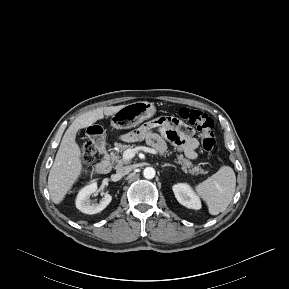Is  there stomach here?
Here are the masks:
<instances>
[{
	"mask_svg": "<svg viewBox=\"0 0 289 289\" xmlns=\"http://www.w3.org/2000/svg\"><path fill=\"white\" fill-rule=\"evenodd\" d=\"M156 107L148 101H138L125 105L111 117V125L116 129H130L155 115Z\"/></svg>",
	"mask_w": 289,
	"mask_h": 289,
	"instance_id": "1",
	"label": "stomach"
}]
</instances>
